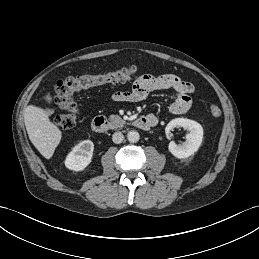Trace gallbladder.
<instances>
[{"instance_id":"obj_1","label":"gallbladder","mask_w":259,"mask_h":259,"mask_svg":"<svg viewBox=\"0 0 259 259\" xmlns=\"http://www.w3.org/2000/svg\"><path fill=\"white\" fill-rule=\"evenodd\" d=\"M46 101H47L48 103H50V102L52 101V98H51V97H47V98H46Z\"/></svg>"}]
</instances>
